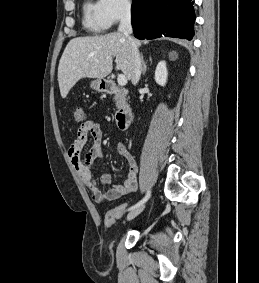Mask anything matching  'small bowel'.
I'll list each match as a JSON object with an SVG mask.
<instances>
[{
    "instance_id": "obj_1",
    "label": "small bowel",
    "mask_w": 259,
    "mask_h": 283,
    "mask_svg": "<svg viewBox=\"0 0 259 283\" xmlns=\"http://www.w3.org/2000/svg\"><path fill=\"white\" fill-rule=\"evenodd\" d=\"M89 137L92 138V144L82 156ZM102 137L100 123L95 120H87L79 127L77 136L67 152L71 165L88 187L92 197L101 203L114 201L138 190V166L134 156L127 150L124 143H119L116 147L117 153L125 158L128 164V176L124 183L105 190L104 187L112 182V175L109 171L103 174L100 182L96 180L91 166L95 160L103 158Z\"/></svg>"
}]
</instances>
